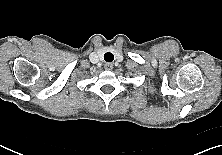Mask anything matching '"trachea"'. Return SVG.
<instances>
[{
	"label": "trachea",
	"instance_id": "1",
	"mask_svg": "<svg viewBox=\"0 0 222 155\" xmlns=\"http://www.w3.org/2000/svg\"><path fill=\"white\" fill-rule=\"evenodd\" d=\"M104 60L106 62H112L114 60V55L110 52L104 54Z\"/></svg>",
	"mask_w": 222,
	"mask_h": 155
}]
</instances>
